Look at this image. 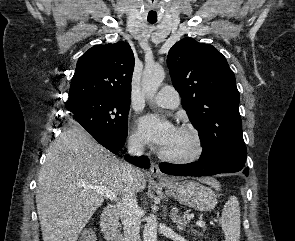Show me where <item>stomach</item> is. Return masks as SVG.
I'll return each instance as SVG.
<instances>
[{
    "mask_svg": "<svg viewBox=\"0 0 295 241\" xmlns=\"http://www.w3.org/2000/svg\"><path fill=\"white\" fill-rule=\"evenodd\" d=\"M166 193L178 202L199 211H210L217 204V197L213 190L193 180L175 179L164 182ZM214 186L217 190L219 184Z\"/></svg>",
    "mask_w": 295,
    "mask_h": 241,
    "instance_id": "stomach-1",
    "label": "stomach"
}]
</instances>
